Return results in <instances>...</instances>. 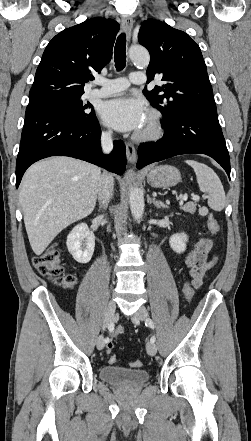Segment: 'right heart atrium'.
I'll return each mask as SVG.
<instances>
[{
    "label": "right heart atrium",
    "instance_id": "right-heart-atrium-1",
    "mask_svg": "<svg viewBox=\"0 0 251 441\" xmlns=\"http://www.w3.org/2000/svg\"><path fill=\"white\" fill-rule=\"evenodd\" d=\"M110 134V132L109 131H104V135H109Z\"/></svg>",
    "mask_w": 251,
    "mask_h": 441
}]
</instances>
